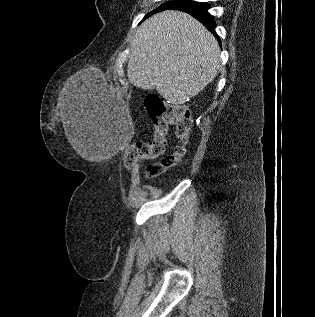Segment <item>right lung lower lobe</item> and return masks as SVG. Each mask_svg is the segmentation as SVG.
<instances>
[{"instance_id": "1", "label": "right lung lower lobe", "mask_w": 315, "mask_h": 317, "mask_svg": "<svg viewBox=\"0 0 315 317\" xmlns=\"http://www.w3.org/2000/svg\"><path fill=\"white\" fill-rule=\"evenodd\" d=\"M210 5L195 2L192 0H182L174 5L168 6L169 10H180L189 13L197 20H199L209 31L215 33V21L214 18L208 13Z\"/></svg>"}]
</instances>
